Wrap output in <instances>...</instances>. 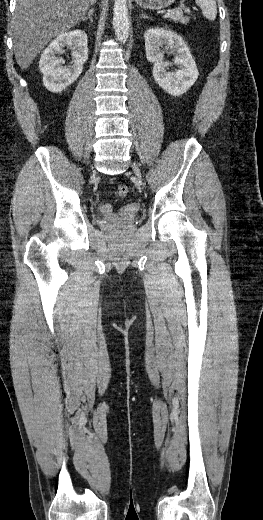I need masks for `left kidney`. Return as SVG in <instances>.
<instances>
[{"label":"left kidney","mask_w":263,"mask_h":520,"mask_svg":"<svg viewBox=\"0 0 263 520\" xmlns=\"http://www.w3.org/2000/svg\"><path fill=\"white\" fill-rule=\"evenodd\" d=\"M146 57L154 64L153 77L158 85L167 93L179 96L188 91L199 76L197 66L183 38L177 33L163 29L150 28L145 34ZM163 49H174L173 60L178 67L176 72H167L166 67L172 63L164 62Z\"/></svg>","instance_id":"obj_1"}]
</instances>
